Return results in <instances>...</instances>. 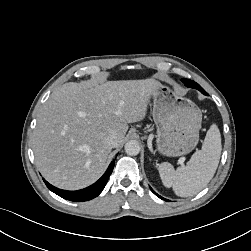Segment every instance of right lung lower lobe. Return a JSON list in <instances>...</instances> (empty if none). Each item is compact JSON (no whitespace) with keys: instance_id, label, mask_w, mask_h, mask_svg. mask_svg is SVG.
I'll list each match as a JSON object with an SVG mask.
<instances>
[{"instance_id":"right-lung-lower-lobe-1","label":"right lung lower lobe","mask_w":251,"mask_h":251,"mask_svg":"<svg viewBox=\"0 0 251 251\" xmlns=\"http://www.w3.org/2000/svg\"><path fill=\"white\" fill-rule=\"evenodd\" d=\"M115 165V161H112L108 167V169L106 170V172L104 173V175L97 181L95 182L93 185L85 188V189H81L78 191H66V190H62L59 188H56L54 186H52L51 184H49L46 180H44L46 186L55 194L59 195L60 197L70 200V201H76V202H84V201H88L91 200L95 197H97L102 190L104 189L109 176L111 175L113 168Z\"/></svg>"}]
</instances>
